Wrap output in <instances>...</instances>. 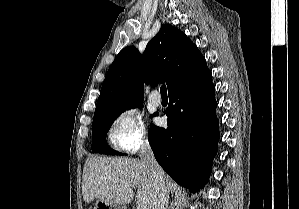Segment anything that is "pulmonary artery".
Masks as SVG:
<instances>
[{
  "instance_id": "pulmonary-artery-1",
  "label": "pulmonary artery",
  "mask_w": 299,
  "mask_h": 209,
  "mask_svg": "<svg viewBox=\"0 0 299 209\" xmlns=\"http://www.w3.org/2000/svg\"><path fill=\"white\" fill-rule=\"evenodd\" d=\"M149 100L153 106H160V104H161V98L158 96L157 91H153L150 94Z\"/></svg>"
}]
</instances>
